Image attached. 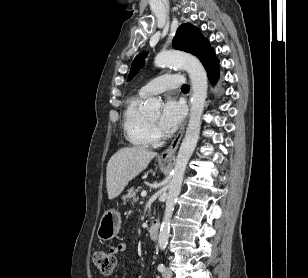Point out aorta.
I'll use <instances>...</instances> for the list:
<instances>
[{
  "label": "aorta",
  "mask_w": 308,
  "mask_h": 278,
  "mask_svg": "<svg viewBox=\"0 0 308 278\" xmlns=\"http://www.w3.org/2000/svg\"><path fill=\"white\" fill-rule=\"evenodd\" d=\"M154 64L157 67L178 66L185 69L189 74L192 86L190 119L172 171L163 222L158 237V245L164 249L168 243L170 220L181 191L185 170L199 139L208 82L203 65L193 55L180 51H164L157 54ZM160 105V101L156 98H149L144 104V110L150 115L158 114Z\"/></svg>",
  "instance_id": "aorta-1"
}]
</instances>
